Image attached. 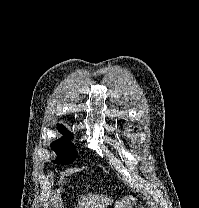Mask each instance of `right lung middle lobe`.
Wrapping results in <instances>:
<instances>
[{
	"label": "right lung middle lobe",
	"mask_w": 199,
	"mask_h": 208,
	"mask_svg": "<svg viewBox=\"0 0 199 208\" xmlns=\"http://www.w3.org/2000/svg\"><path fill=\"white\" fill-rule=\"evenodd\" d=\"M70 134H65L64 138L54 141L51 148L58 154L54 161L58 164H71L77 157L76 150L71 143Z\"/></svg>",
	"instance_id": "obj_1"
}]
</instances>
